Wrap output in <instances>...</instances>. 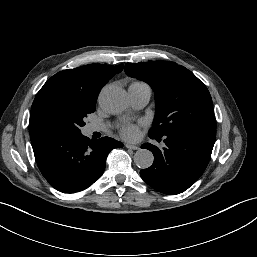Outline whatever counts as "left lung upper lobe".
<instances>
[{
	"label": "left lung upper lobe",
	"mask_w": 257,
	"mask_h": 257,
	"mask_svg": "<svg viewBox=\"0 0 257 257\" xmlns=\"http://www.w3.org/2000/svg\"><path fill=\"white\" fill-rule=\"evenodd\" d=\"M128 76L148 83L157 112L148 135L162 137L184 128L215 127L211 95L192 72L174 62L127 63Z\"/></svg>",
	"instance_id": "5c2ea615"
}]
</instances>
